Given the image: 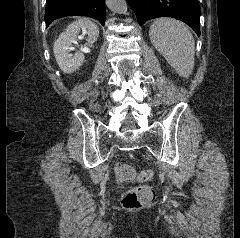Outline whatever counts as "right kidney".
Instances as JSON below:
<instances>
[{
  "label": "right kidney",
  "mask_w": 240,
  "mask_h": 238,
  "mask_svg": "<svg viewBox=\"0 0 240 238\" xmlns=\"http://www.w3.org/2000/svg\"><path fill=\"white\" fill-rule=\"evenodd\" d=\"M87 34L86 45L93 44L97 41L99 35V29L95 23L86 18H81L66 28V30L60 34L59 38L54 44V55L60 69L67 74L75 72L81 67L84 62V55L82 52H88V48L81 47L80 51L71 54L73 49L72 44L77 43L78 34L80 31Z\"/></svg>",
  "instance_id": "obj_1"
}]
</instances>
